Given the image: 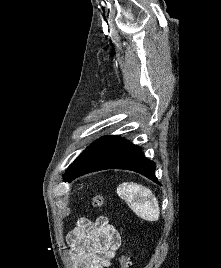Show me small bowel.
Masks as SVG:
<instances>
[{
  "label": "small bowel",
  "instance_id": "1",
  "mask_svg": "<svg viewBox=\"0 0 221 268\" xmlns=\"http://www.w3.org/2000/svg\"><path fill=\"white\" fill-rule=\"evenodd\" d=\"M75 268H108L121 245V235L106 216L81 218L67 236Z\"/></svg>",
  "mask_w": 221,
  "mask_h": 268
}]
</instances>
